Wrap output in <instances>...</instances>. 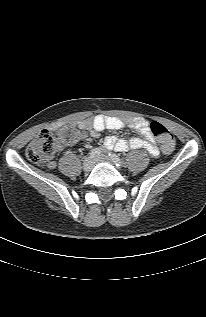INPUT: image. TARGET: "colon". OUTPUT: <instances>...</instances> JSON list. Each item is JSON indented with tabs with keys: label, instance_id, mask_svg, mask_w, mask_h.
Wrapping results in <instances>:
<instances>
[{
	"label": "colon",
	"instance_id": "obj_1",
	"mask_svg": "<svg viewBox=\"0 0 206 317\" xmlns=\"http://www.w3.org/2000/svg\"><path fill=\"white\" fill-rule=\"evenodd\" d=\"M150 131L164 151L169 152L173 149L175 144L174 136L163 124L156 121L152 122ZM79 137L80 132L73 127H64L58 132L60 141L67 144L73 143ZM56 145L55 136L50 131L43 130L27 147V158L33 163L43 164L51 159Z\"/></svg>",
	"mask_w": 206,
	"mask_h": 317
}]
</instances>
